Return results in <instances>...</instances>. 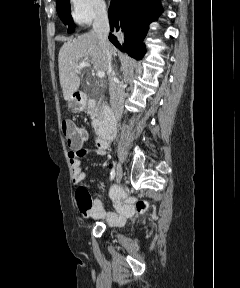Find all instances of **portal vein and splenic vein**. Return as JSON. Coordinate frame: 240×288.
<instances>
[{
	"label": "portal vein and splenic vein",
	"instance_id": "portal-vein-and-splenic-vein-1",
	"mask_svg": "<svg viewBox=\"0 0 240 288\" xmlns=\"http://www.w3.org/2000/svg\"><path fill=\"white\" fill-rule=\"evenodd\" d=\"M90 66H91V64H90L89 62L83 60V61H81V62L79 63V65L76 67L75 71H76V72H79L81 69H83V68H85V67H90ZM97 77L100 78V79H103V78L105 77V72H103V71H98V72H97Z\"/></svg>",
	"mask_w": 240,
	"mask_h": 288
}]
</instances>
